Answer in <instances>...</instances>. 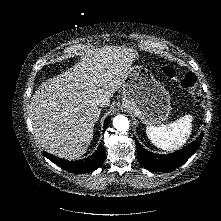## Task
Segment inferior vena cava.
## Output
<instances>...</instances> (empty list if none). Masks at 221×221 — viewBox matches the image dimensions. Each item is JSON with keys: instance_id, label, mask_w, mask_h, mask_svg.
<instances>
[{"instance_id": "inferior-vena-cava-1", "label": "inferior vena cava", "mask_w": 221, "mask_h": 221, "mask_svg": "<svg viewBox=\"0 0 221 221\" xmlns=\"http://www.w3.org/2000/svg\"><path fill=\"white\" fill-rule=\"evenodd\" d=\"M108 103V100L105 98H99L96 100V104L101 107H105Z\"/></svg>"}]
</instances>
